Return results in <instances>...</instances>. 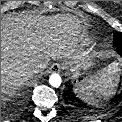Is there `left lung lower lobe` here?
<instances>
[{
	"instance_id": "0a47b994",
	"label": "left lung lower lobe",
	"mask_w": 122,
	"mask_h": 122,
	"mask_svg": "<svg viewBox=\"0 0 122 122\" xmlns=\"http://www.w3.org/2000/svg\"><path fill=\"white\" fill-rule=\"evenodd\" d=\"M117 53L122 57V47L117 48ZM121 98H122V91L119 94V96L117 97V100L121 99Z\"/></svg>"
}]
</instances>
